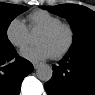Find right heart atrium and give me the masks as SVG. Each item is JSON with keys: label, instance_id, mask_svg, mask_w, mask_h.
<instances>
[{"label": "right heart atrium", "instance_id": "d8ad5b80", "mask_svg": "<svg viewBox=\"0 0 95 95\" xmlns=\"http://www.w3.org/2000/svg\"><path fill=\"white\" fill-rule=\"evenodd\" d=\"M6 37L13 46L21 49L29 43L30 32L21 19L14 18L6 27Z\"/></svg>", "mask_w": 95, "mask_h": 95}]
</instances>
